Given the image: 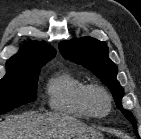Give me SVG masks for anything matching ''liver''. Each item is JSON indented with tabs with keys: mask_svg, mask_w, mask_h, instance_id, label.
I'll list each match as a JSON object with an SVG mask.
<instances>
[{
	"mask_svg": "<svg viewBox=\"0 0 141 139\" xmlns=\"http://www.w3.org/2000/svg\"><path fill=\"white\" fill-rule=\"evenodd\" d=\"M91 130L77 118L60 112H25L0 121V139H72Z\"/></svg>",
	"mask_w": 141,
	"mask_h": 139,
	"instance_id": "liver-1",
	"label": "liver"
}]
</instances>
